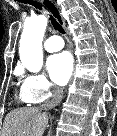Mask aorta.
<instances>
[{"label":"aorta","mask_w":117,"mask_h":136,"mask_svg":"<svg viewBox=\"0 0 117 136\" xmlns=\"http://www.w3.org/2000/svg\"><path fill=\"white\" fill-rule=\"evenodd\" d=\"M47 24L45 15L33 16L24 23L19 54L22 64L31 72H38L42 68V40Z\"/></svg>","instance_id":"obj_1"}]
</instances>
